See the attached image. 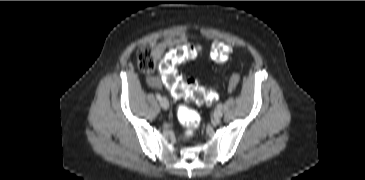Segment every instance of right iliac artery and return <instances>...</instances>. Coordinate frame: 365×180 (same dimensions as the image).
I'll return each instance as SVG.
<instances>
[{"instance_id": "82829eb1", "label": "right iliac artery", "mask_w": 365, "mask_h": 180, "mask_svg": "<svg viewBox=\"0 0 365 180\" xmlns=\"http://www.w3.org/2000/svg\"><path fill=\"white\" fill-rule=\"evenodd\" d=\"M156 98L160 101L161 100V95L159 93H156Z\"/></svg>"}]
</instances>
